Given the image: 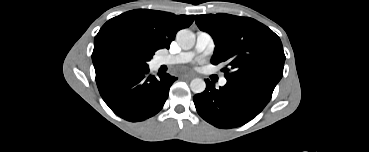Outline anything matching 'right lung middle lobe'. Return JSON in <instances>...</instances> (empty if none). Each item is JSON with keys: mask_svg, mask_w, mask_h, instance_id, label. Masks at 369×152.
<instances>
[{"mask_svg": "<svg viewBox=\"0 0 369 152\" xmlns=\"http://www.w3.org/2000/svg\"><path fill=\"white\" fill-rule=\"evenodd\" d=\"M153 54L154 52L129 41L95 37L92 61L96 80L127 69L147 68V62Z\"/></svg>", "mask_w": 369, "mask_h": 152, "instance_id": "obj_1", "label": "right lung middle lobe"}]
</instances>
